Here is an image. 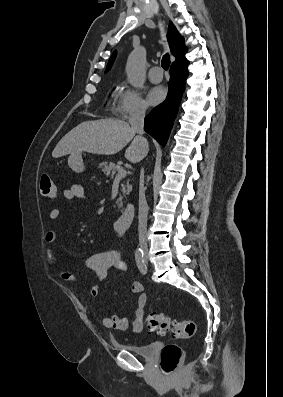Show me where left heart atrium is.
<instances>
[{"label": "left heart atrium", "instance_id": "obj_1", "mask_svg": "<svg viewBox=\"0 0 283 397\" xmlns=\"http://www.w3.org/2000/svg\"><path fill=\"white\" fill-rule=\"evenodd\" d=\"M166 97V90L162 86H154L149 89L146 101L149 106L160 104Z\"/></svg>", "mask_w": 283, "mask_h": 397}]
</instances>
